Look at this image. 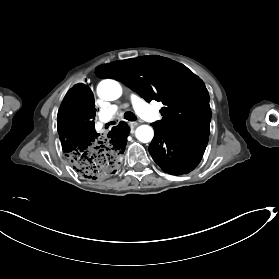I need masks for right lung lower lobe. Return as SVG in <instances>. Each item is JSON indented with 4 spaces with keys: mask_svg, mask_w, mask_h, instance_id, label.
I'll list each match as a JSON object with an SVG mask.
<instances>
[{
    "mask_svg": "<svg viewBox=\"0 0 279 279\" xmlns=\"http://www.w3.org/2000/svg\"><path fill=\"white\" fill-rule=\"evenodd\" d=\"M95 113L91 90L84 84L75 85L59 108L58 133L76 172L88 179H107L119 168L129 129L121 121L103 138L94 128Z\"/></svg>",
    "mask_w": 279,
    "mask_h": 279,
    "instance_id": "98d812e1",
    "label": "right lung lower lobe"
}]
</instances>
